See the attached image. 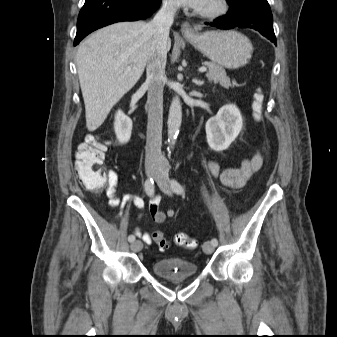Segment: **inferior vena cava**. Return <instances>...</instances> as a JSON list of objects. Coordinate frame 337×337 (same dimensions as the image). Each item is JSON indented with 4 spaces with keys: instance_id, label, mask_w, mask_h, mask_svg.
Listing matches in <instances>:
<instances>
[{
    "instance_id": "1",
    "label": "inferior vena cava",
    "mask_w": 337,
    "mask_h": 337,
    "mask_svg": "<svg viewBox=\"0 0 337 337\" xmlns=\"http://www.w3.org/2000/svg\"><path fill=\"white\" fill-rule=\"evenodd\" d=\"M177 10L178 5L176 3L164 1L153 20L146 25L147 30L153 34L146 69V84L148 86L146 163H157L163 160L161 145L167 43L169 40V30L173 24Z\"/></svg>"
}]
</instances>
